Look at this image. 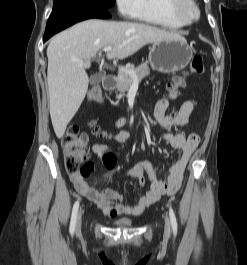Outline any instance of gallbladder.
Returning <instances> with one entry per match:
<instances>
[{
  "label": "gallbladder",
  "instance_id": "1",
  "mask_svg": "<svg viewBox=\"0 0 247 265\" xmlns=\"http://www.w3.org/2000/svg\"><path fill=\"white\" fill-rule=\"evenodd\" d=\"M101 80H102V75H100V74L92 75L89 79L90 84H92V85L100 83Z\"/></svg>",
  "mask_w": 247,
  "mask_h": 265
}]
</instances>
